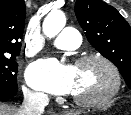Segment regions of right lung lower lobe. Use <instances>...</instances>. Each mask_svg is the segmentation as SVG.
Masks as SVG:
<instances>
[{"label":"right lung lower lobe","instance_id":"obj_1","mask_svg":"<svg viewBox=\"0 0 131 115\" xmlns=\"http://www.w3.org/2000/svg\"><path fill=\"white\" fill-rule=\"evenodd\" d=\"M14 96H15V95H14ZM14 96H10V95H7V94L0 95V101L5 102V101L11 99V98L14 97Z\"/></svg>","mask_w":131,"mask_h":115}]
</instances>
